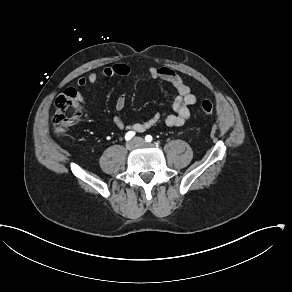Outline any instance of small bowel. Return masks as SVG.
<instances>
[{
  "label": "small bowel",
  "instance_id": "1",
  "mask_svg": "<svg viewBox=\"0 0 292 292\" xmlns=\"http://www.w3.org/2000/svg\"><path fill=\"white\" fill-rule=\"evenodd\" d=\"M132 73H145L154 80H162L171 84L177 91V96L174 98L172 103L173 113L168 114L165 117V124L168 127H180L184 125L190 118L191 112L190 107L195 105L197 102L196 96L192 93L191 88L184 82L180 75L175 71L167 67H145L138 66L135 68L130 67L125 63H117L110 66H106L102 70L104 77H113L115 75L127 77ZM99 81V75L96 72H91L87 76L78 78L76 84L80 88H84L91 84H96ZM72 94L78 101L83 100L87 105L92 106V103L87 102L83 99V95L74 89ZM126 103V95L121 94L116 101V110L121 112ZM93 107H98V104H93ZM161 121V115L155 114L146 121L139 122L128 126L129 128L137 131L144 132L150 128H153ZM114 126L119 130L127 128L123 118L121 116H115L113 118Z\"/></svg>",
  "mask_w": 292,
  "mask_h": 292
}]
</instances>
